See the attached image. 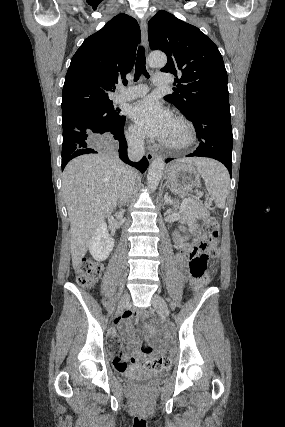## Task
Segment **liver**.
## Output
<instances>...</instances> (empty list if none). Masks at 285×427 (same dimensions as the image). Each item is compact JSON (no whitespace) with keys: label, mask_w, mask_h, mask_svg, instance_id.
<instances>
[{"label":"liver","mask_w":285,"mask_h":427,"mask_svg":"<svg viewBox=\"0 0 285 427\" xmlns=\"http://www.w3.org/2000/svg\"><path fill=\"white\" fill-rule=\"evenodd\" d=\"M179 162L203 166L204 158H187ZM127 167L116 154H87L70 161L62 175V193L70 220V248L73 268L85 256L91 236L115 209Z\"/></svg>","instance_id":"liver-1"}]
</instances>
